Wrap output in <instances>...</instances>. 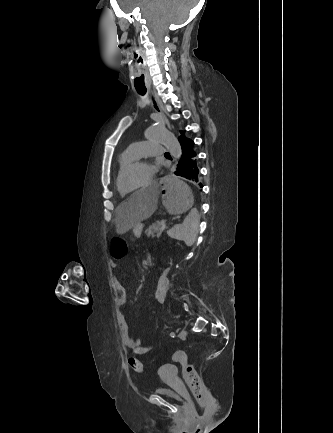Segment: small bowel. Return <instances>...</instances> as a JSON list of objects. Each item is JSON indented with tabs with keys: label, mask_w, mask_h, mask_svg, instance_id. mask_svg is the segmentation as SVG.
<instances>
[{
	"label": "small bowel",
	"mask_w": 333,
	"mask_h": 433,
	"mask_svg": "<svg viewBox=\"0 0 333 433\" xmlns=\"http://www.w3.org/2000/svg\"><path fill=\"white\" fill-rule=\"evenodd\" d=\"M169 285H170V280H169V277H167L166 278V285L161 286V290H162L161 292L164 294V297L162 298V303L164 302V300L166 298V295H167V292L169 289ZM114 290L116 292V304L119 307H122L123 305H125L127 298H126L125 286L123 285V283L119 279H116L114 282ZM118 324H119L121 341H122V344L126 348L133 350L138 355L145 354L151 350L150 344H144L143 340L141 338L132 337V335L130 333L129 324L122 314L120 315V317L118 319Z\"/></svg>",
	"instance_id": "obj_1"
}]
</instances>
